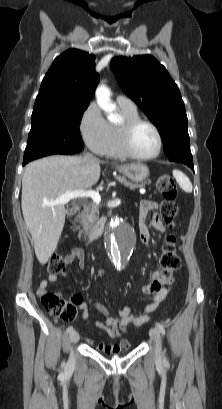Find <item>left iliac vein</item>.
Listing matches in <instances>:
<instances>
[{
	"label": "left iliac vein",
	"mask_w": 222,
	"mask_h": 409,
	"mask_svg": "<svg viewBox=\"0 0 222 409\" xmlns=\"http://www.w3.org/2000/svg\"><path fill=\"white\" fill-rule=\"evenodd\" d=\"M149 335L154 342L155 346V355L157 358L161 357L162 348H161V335L157 328H152L149 332Z\"/></svg>",
	"instance_id": "left-iliac-vein-1"
}]
</instances>
